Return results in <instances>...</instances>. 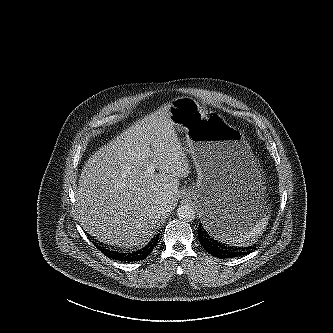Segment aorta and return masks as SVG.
Here are the masks:
<instances>
[{"instance_id":"1","label":"aorta","mask_w":333,"mask_h":333,"mask_svg":"<svg viewBox=\"0 0 333 333\" xmlns=\"http://www.w3.org/2000/svg\"><path fill=\"white\" fill-rule=\"evenodd\" d=\"M195 209L190 205H182L177 209V217L181 221L191 222L195 219Z\"/></svg>"}]
</instances>
